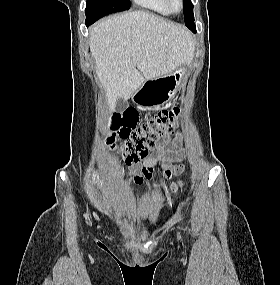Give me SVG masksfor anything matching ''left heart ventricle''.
I'll use <instances>...</instances> for the list:
<instances>
[{"label":"left heart ventricle","instance_id":"obj_1","mask_svg":"<svg viewBox=\"0 0 280 285\" xmlns=\"http://www.w3.org/2000/svg\"><path fill=\"white\" fill-rule=\"evenodd\" d=\"M173 7H174V9H179V3H178V1L177 0H174V2H173Z\"/></svg>","mask_w":280,"mask_h":285}]
</instances>
